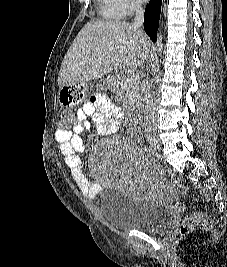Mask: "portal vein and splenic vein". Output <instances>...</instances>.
<instances>
[{
  "mask_svg": "<svg viewBox=\"0 0 227 267\" xmlns=\"http://www.w3.org/2000/svg\"><path fill=\"white\" fill-rule=\"evenodd\" d=\"M128 81H129L130 83H136V81H137V76H135V75L130 76L129 79H128Z\"/></svg>",
  "mask_w": 227,
  "mask_h": 267,
  "instance_id": "1",
  "label": "portal vein and splenic vein"
}]
</instances>
